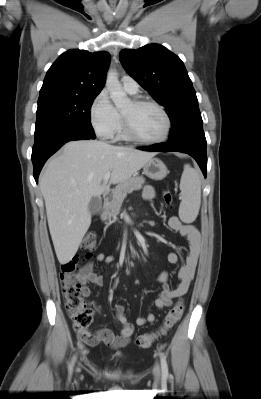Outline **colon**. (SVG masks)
<instances>
[{"label": "colon", "instance_id": "5ec220e1", "mask_svg": "<svg viewBox=\"0 0 261 399\" xmlns=\"http://www.w3.org/2000/svg\"><path fill=\"white\" fill-rule=\"evenodd\" d=\"M162 197L165 205L171 207L173 204V196L171 192L165 190ZM96 245L97 234L94 232L87 233L82 241L83 249L91 252L95 249ZM79 263V258L64 263L60 270V282L62 294L65 300V307L73 322L74 330L82 339H88V328L93 321V310L83 300L80 285L74 278ZM183 310V303L177 302L166 315L161 328L157 332L140 335L136 340V345L143 349L149 348L157 338L165 335L179 321L183 314Z\"/></svg>", "mask_w": 261, "mask_h": 399}]
</instances>
